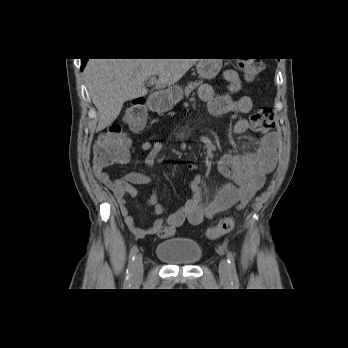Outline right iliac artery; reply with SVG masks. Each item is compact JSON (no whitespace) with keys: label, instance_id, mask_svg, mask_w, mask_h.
Masks as SVG:
<instances>
[{"label":"right iliac artery","instance_id":"1","mask_svg":"<svg viewBox=\"0 0 348 348\" xmlns=\"http://www.w3.org/2000/svg\"><path fill=\"white\" fill-rule=\"evenodd\" d=\"M136 254H137V247L133 246L131 251H130L128 267H127V270H126V276H125L126 284L130 283V279H131V276H132L133 264H134V261H135Z\"/></svg>","mask_w":348,"mask_h":348}]
</instances>
